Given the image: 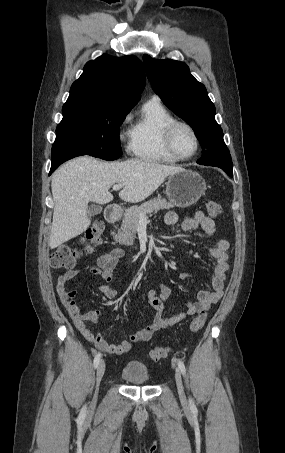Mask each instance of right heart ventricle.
Returning <instances> with one entry per match:
<instances>
[{"mask_svg": "<svg viewBox=\"0 0 285 453\" xmlns=\"http://www.w3.org/2000/svg\"><path fill=\"white\" fill-rule=\"evenodd\" d=\"M174 120L173 115L158 99L145 102L129 131L130 153L136 158L153 162L179 161L168 152L164 144V130Z\"/></svg>", "mask_w": 285, "mask_h": 453, "instance_id": "1", "label": "right heart ventricle"}]
</instances>
